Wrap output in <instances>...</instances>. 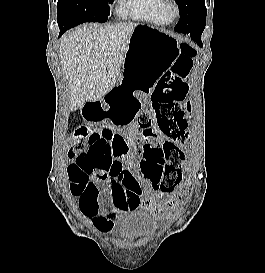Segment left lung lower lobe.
Instances as JSON below:
<instances>
[{"instance_id":"1","label":"left lung lower lobe","mask_w":265,"mask_h":273,"mask_svg":"<svg viewBox=\"0 0 265 273\" xmlns=\"http://www.w3.org/2000/svg\"><path fill=\"white\" fill-rule=\"evenodd\" d=\"M197 6L189 13L180 17L174 30L178 33L188 34L194 42L202 46L201 34L205 28L204 5L205 0H197Z\"/></svg>"}]
</instances>
